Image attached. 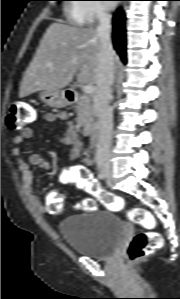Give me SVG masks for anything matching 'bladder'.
<instances>
[{
  "label": "bladder",
  "mask_w": 180,
  "mask_h": 299,
  "mask_svg": "<svg viewBox=\"0 0 180 299\" xmlns=\"http://www.w3.org/2000/svg\"><path fill=\"white\" fill-rule=\"evenodd\" d=\"M59 232L76 253L105 259L118 249L125 234L123 221L108 209L73 214L59 225Z\"/></svg>",
  "instance_id": "obj_1"
}]
</instances>
